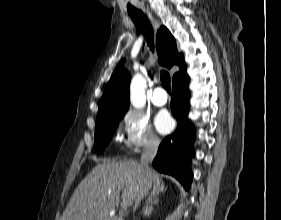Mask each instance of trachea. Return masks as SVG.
Returning a JSON list of instances; mask_svg holds the SVG:
<instances>
[{
    "instance_id": "trachea-1",
    "label": "trachea",
    "mask_w": 281,
    "mask_h": 220,
    "mask_svg": "<svg viewBox=\"0 0 281 220\" xmlns=\"http://www.w3.org/2000/svg\"><path fill=\"white\" fill-rule=\"evenodd\" d=\"M128 13L131 19L133 20V22L138 27V29L146 38L147 43L150 46V49L153 50V29L149 24V22L147 21L143 12L140 10L133 9V10H128ZM161 83L162 86L167 90V92L171 94L170 75L168 72L162 71Z\"/></svg>"
}]
</instances>
